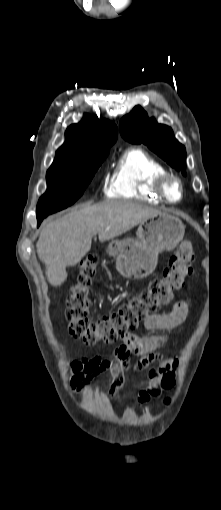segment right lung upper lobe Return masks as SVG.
I'll list each match as a JSON object with an SVG mask.
<instances>
[{
  "instance_id": "obj_1",
  "label": "right lung upper lobe",
  "mask_w": 221,
  "mask_h": 510,
  "mask_svg": "<svg viewBox=\"0 0 221 510\" xmlns=\"http://www.w3.org/2000/svg\"><path fill=\"white\" fill-rule=\"evenodd\" d=\"M117 133L114 123L85 114L80 123L67 128L65 143L56 151L54 162L110 151Z\"/></svg>"
}]
</instances>
